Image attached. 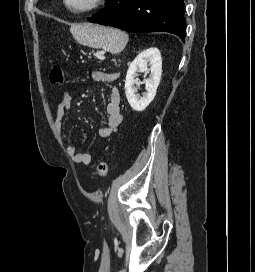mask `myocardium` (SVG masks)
<instances>
[{"label":"myocardium","mask_w":255,"mask_h":272,"mask_svg":"<svg viewBox=\"0 0 255 272\" xmlns=\"http://www.w3.org/2000/svg\"><path fill=\"white\" fill-rule=\"evenodd\" d=\"M106 0H93L90 5L83 8H75L70 4L69 0H63L65 7L74 14H86L100 9Z\"/></svg>","instance_id":"obj_1"}]
</instances>
